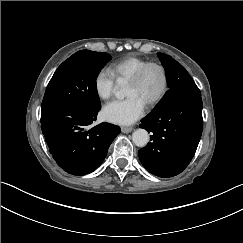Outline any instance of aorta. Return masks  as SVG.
<instances>
[{"instance_id": "762f6f07", "label": "aorta", "mask_w": 243, "mask_h": 243, "mask_svg": "<svg viewBox=\"0 0 243 243\" xmlns=\"http://www.w3.org/2000/svg\"><path fill=\"white\" fill-rule=\"evenodd\" d=\"M127 87L123 84L116 87L114 96L118 100H123L126 97ZM149 134L143 129H137L132 135V142L137 147H145L149 142Z\"/></svg>"}]
</instances>
